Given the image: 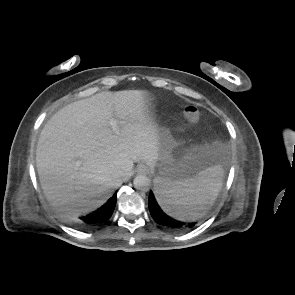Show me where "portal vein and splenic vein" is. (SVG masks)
<instances>
[{
	"mask_svg": "<svg viewBox=\"0 0 295 295\" xmlns=\"http://www.w3.org/2000/svg\"><path fill=\"white\" fill-rule=\"evenodd\" d=\"M109 123H110L111 128L113 129V131L115 133H117L119 131V127H118L119 122H118V120L112 118V119H110Z\"/></svg>",
	"mask_w": 295,
	"mask_h": 295,
	"instance_id": "1",
	"label": "portal vein and splenic vein"
}]
</instances>
